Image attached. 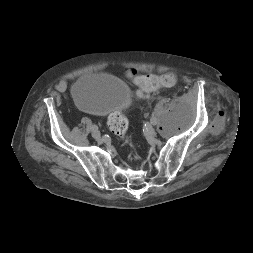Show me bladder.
Returning <instances> with one entry per match:
<instances>
[{
    "label": "bladder",
    "mask_w": 253,
    "mask_h": 253,
    "mask_svg": "<svg viewBox=\"0 0 253 253\" xmlns=\"http://www.w3.org/2000/svg\"><path fill=\"white\" fill-rule=\"evenodd\" d=\"M74 101L94 114L122 112L131 103L128 85L108 74H87L80 77L71 89Z\"/></svg>",
    "instance_id": "31cf9c89"
}]
</instances>
